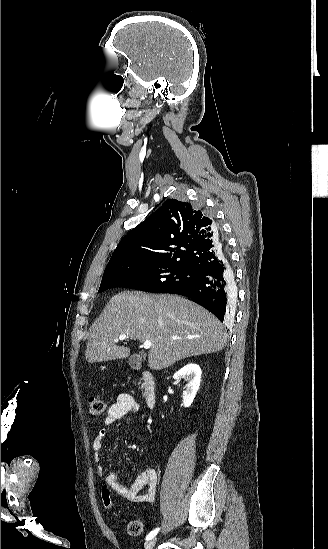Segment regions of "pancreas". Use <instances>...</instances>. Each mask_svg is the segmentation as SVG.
<instances>
[{
  "label": "pancreas",
  "mask_w": 328,
  "mask_h": 549,
  "mask_svg": "<svg viewBox=\"0 0 328 549\" xmlns=\"http://www.w3.org/2000/svg\"><path fill=\"white\" fill-rule=\"evenodd\" d=\"M138 385H141L140 389H145V385H142V383H138Z\"/></svg>",
  "instance_id": "cf45deb5"
}]
</instances>
